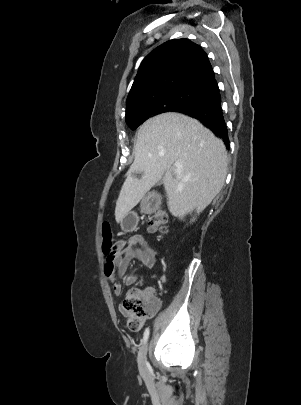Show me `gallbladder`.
<instances>
[{
  "mask_svg": "<svg viewBox=\"0 0 301 405\" xmlns=\"http://www.w3.org/2000/svg\"><path fill=\"white\" fill-rule=\"evenodd\" d=\"M162 182H163V179L161 178V179L158 181V185L162 184Z\"/></svg>",
  "mask_w": 301,
  "mask_h": 405,
  "instance_id": "bac80fb5",
  "label": "gallbladder"
}]
</instances>
